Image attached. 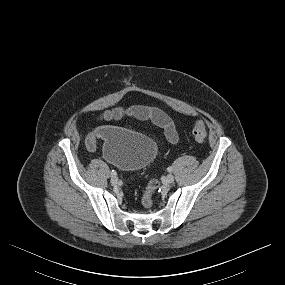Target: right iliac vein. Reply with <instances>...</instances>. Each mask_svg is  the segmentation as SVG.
I'll return each mask as SVG.
<instances>
[{
    "label": "right iliac vein",
    "mask_w": 285,
    "mask_h": 285,
    "mask_svg": "<svg viewBox=\"0 0 285 285\" xmlns=\"http://www.w3.org/2000/svg\"><path fill=\"white\" fill-rule=\"evenodd\" d=\"M117 182H118V177L117 176H112L111 177V183L112 184H117Z\"/></svg>",
    "instance_id": "1"
}]
</instances>
